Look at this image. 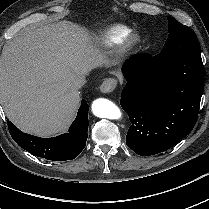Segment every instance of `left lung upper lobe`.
<instances>
[{"label": "left lung upper lobe", "mask_w": 209, "mask_h": 209, "mask_svg": "<svg viewBox=\"0 0 209 209\" xmlns=\"http://www.w3.org/2000/svg\"><path fill=\"white\" fill-rule=\"evenodd\" d=\"M169 37L160 52L155 57L169 58L188 50L199 48V43L189 27L168 17Z\"/></svg>", "instance_id": "left-lung-upper-lobe-1"}]
</instances>
